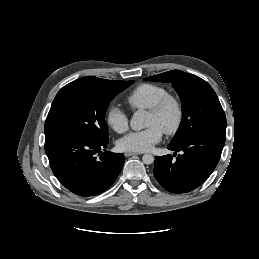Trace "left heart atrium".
Instances as JSON below:
<instances>
[{
    "label": "left heart atrium",
    "mask_w": 259,
    "mask_h": 259,
    "mask_svg": "<svg viewBox=\"0 0 259 259\" xmlns=\"http://www.w3.org/2000/svg\"><path fill=\"white\" fill-rule=\"evenodd\" d=\"M163 130L157 125L148 126L146 129L134 131L118 141V148L129 152H146L162 138Z\"/></svg>",
    "instance_id": "obj_1"
}]
</instances>
